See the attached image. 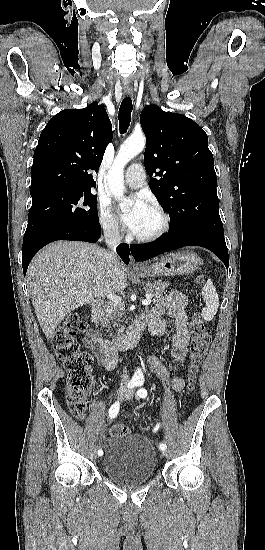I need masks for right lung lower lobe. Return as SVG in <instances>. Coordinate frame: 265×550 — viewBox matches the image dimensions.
<instances>
[{"label":"right lung lower lobe","instance_id":"1","mask_svg":"<svg viewBox=\"0 0 265 550\" xmlns=\"http://www.w3.org/2000/svg\"><path fill=\"white\" fill-rule=\"evenodd\" d=\"M101 237V226L97 223H63L47 227L24 236L23 239V272L26 274L33 256L45 245L56 240L97 242ZM117 253L124 263H129V245L122 243Z\"/></svg>","mask_w":265,"mask_h":550}]
</instances>
